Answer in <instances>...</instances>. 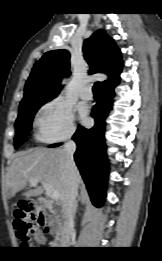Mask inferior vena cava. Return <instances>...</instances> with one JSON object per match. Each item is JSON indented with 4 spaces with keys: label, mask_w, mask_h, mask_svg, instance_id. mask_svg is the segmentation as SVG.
<instances>
[{
    "label": "inferior vena cava",
    "mask_w": 162,
    "mask_h": 261,
    "mask_svg": "<svg viewBox=\"0 0 162 261\" xmlns=\"http://www.w3.org/2000/svg\"><path fill=\"white\" fill-rule=\"evenodd\" d=\"M66 155V168H67V188L62 201V219H63V235L61 243L66 246L69 242L70 229L73 225V211L77 197V178L78 170L74 162V153L76 151V144L73 140L69 139L64 145Z\"/></svg>",
    "instance_id": "602c4592"
}]
</instances>
